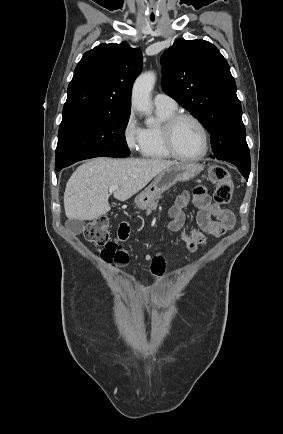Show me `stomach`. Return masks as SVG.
Returning <instances> with one entry per match:
<instances>
[{"mask_svg": "<svg viewBox=\"0 0 283 434\" xmlns=\"http://www.w3.org/2000/svg\"><path fill=\"white\" fill-rule=\"evenodd\" d=\"M203 167L197 163H177L160 172L152 183L135 198V204L144 208L177 182L188 181L197 176Z\"/></svg>", "mask_w": 283, "mask_h": 434, "instance_id": "stomach-1", "label": "stomach"}]
</instances>
